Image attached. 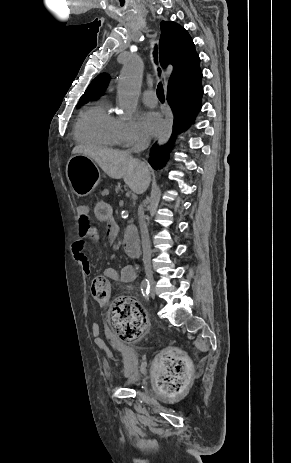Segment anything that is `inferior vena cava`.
<instances>
[{
    "label": "inferior vena cava",
    "mask_w": 291,
    "mask_h": 463,
    "mask_svg": "<svg viewBox=\"0 0 291 463\" xmlns=\"http://www.w3.org/2000/svg\"><path fill=\"white\" fill-rule=\"evenodd\" d=\"M150 144V141L147 137H141L140 140L131 148L128 150L129 153L131 152H136L139 153L145 149L148 148ZM140 231H141V239H142V249H143V257L150 259L151 257V247H150V241H149V234H148V228L147 224L145 221V216H144V208L143 205L140 206ZM147 277L152 276L151 270L146 271Z\"/></svg>",
    "instance_id": "602c4592"
}]
</instances>
